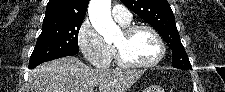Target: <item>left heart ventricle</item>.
I'll use <instances>...</instances> for the list:
<instances>
[{
  "label": "left heart ventricle",
  "mask_w": 225,
  "mask_h": 92,
  "mask_svg": "<svg viewBox=\"0 0 225 92\" xmlns=\"http://www.w3.org/2000/svg\"><path fill=\"white\" fill-rule=\"evenodd\" d=\"M115 44L121 47L126 56L138 63L153 61L159 54V46L155 37L147 30H139L129 39L122 33Z\"/></svg>",
  "instance_id": "left-heart-ventricle-1"
}]
</instances>
